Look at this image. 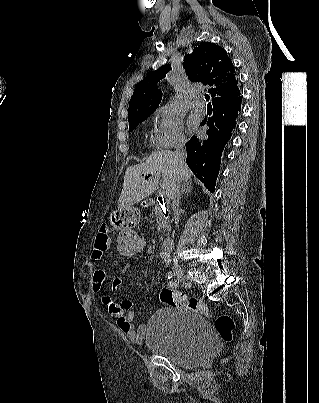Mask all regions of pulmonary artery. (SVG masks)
<instances>
[{
    "label": "pulmonary artery",
    "instance_id": "obj_1",
    "mask_svg": "<svg viewBox=\"0 0 319 403\" xmlns=\"http://www.w3.org/2000/svg\"><path fill=\"white\" fill-rule=\"evenodd\" d=\"M191 109L198 113L206 112V104L204 99L201 96H197L190 105Z\"/></svg>",
    "mask_w": 319,
    "mask_h": 403
}]
</instances>
